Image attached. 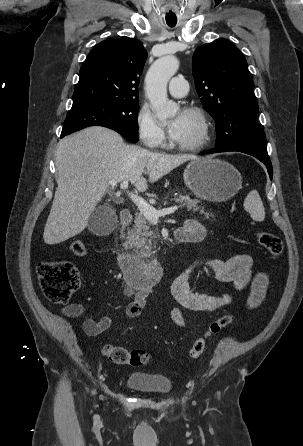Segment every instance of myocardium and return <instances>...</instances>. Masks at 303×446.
Returning <instances> with one entry per match:
<instances>
[{"label": "myocardium", "mask_w": 303, "mask_h": 446, "mask_svg": "<svg viewBox=\"0 0 303 446\" xmlns=\"http://www.w3.org/2000/svg\"><path fill=\"white\" fill-rule=\"evenodd\" d=\"M183 113L195 115L201 124V131L198 138L189 144H181L176 141L173 142L175 148L186 151L193 152L201 149L208 141L210 136V122L206 111L199 106H188L184 108Z\"/></svg>", "instance_id": "1"}]
</instances>
